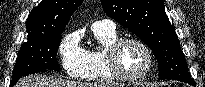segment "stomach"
Instances as JSON below:
<instances>
[{
  "mask_svg": "<svg viewBox=\"0 0 205 87\" xmlns=\"http://www.w3.org/2000/svg\"><path fill=\"white\" fill-rule=\"evenodd\" d=\"M135 87H138V86H135ZM139 87H145V85H144V84H141Z\"/></svg>",
  "mask_w": 205,
  "mask_h": 87,
  "instance_id": "1",
  "label": "stomach"
}]
</instances>
